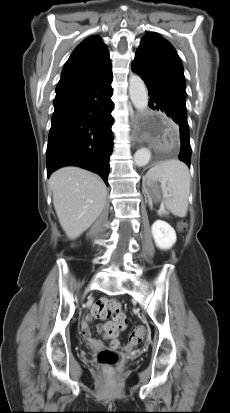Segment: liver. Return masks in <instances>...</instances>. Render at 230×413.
Returning a JSON list of instances; mask_svg holds the SVG:
<instances>
[{
  "mask_svg": "<svg viewBox=\"0 0 230 413\" xmlns=\"http://www.w3.org/2000/svg\"><path fill=\"white\" fill-rule=\"evenodd\" d=\"M49 186L58 220L70 239L87 230L105 207V183L82 168L69 166L55 171Z\"/></svg>",
  "mask_w": 230,
  "mask_h": 413,
  "instance_id": "obj_1",
  "label": "liver"
}]
</instances>
